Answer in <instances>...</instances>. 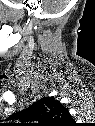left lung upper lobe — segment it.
I'll return each instance as SVG.
<instances>
[{
    "mask_svg": "<svg viewBox=\"0 0 95 126\" xmlns=\"http://www.w3.org/2000/svg\"><path fill=\"white\" fill-rule=\"evenodd\" d=\"M23 122L39 121V123H25L28 126H67L72 120L66 107L52 97H43L27 109L14 113L8 120Z\"/></svg>",
    "mask_w": 95,
    "mask_h": 126,
    "instance_id": "obj_1",
    "label": "left lung upper lobe"
}]
</instances>
